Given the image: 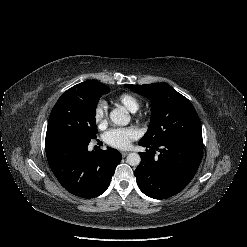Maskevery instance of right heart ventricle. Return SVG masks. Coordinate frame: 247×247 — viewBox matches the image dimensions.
<instances>
[{
  "label": "right heart ventricle",
  "mask_w": 247,
  "mask_h": 247,
  "mask_svg": "<svg viewBox=\"0 0 247 247\" xmlns=\"http://www.w3.org/2000/svg\"><path fill=\"white\" fill-rule=\"evenodd\" d=\"M117 101L124 105L131 112H136L140 106L138 98L131 93H122L117 97Z\"/></svg>",
  "instance_id": "obj_1"
}]
</instances>
